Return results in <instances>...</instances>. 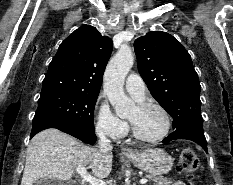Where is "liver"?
I'll return each instance as SVG.
<instances>
[{
	"label": "liver",
	"mask_w": 233,
	"mask_h": 185,
	"mask_svg": "<svg viewBox=\"0 0 233 185\" xmlns=\"http://www.w3.org/2000/svg\"><path fill=\"white\" fill-rule=\"evenodd\" d=\"M113 155L79 142L57 129L36 134L27 148L21 185H38L44 179L70 180L78 167L88 166L94 177L106 178Z\"/></svg>",
	"instance_id": "6515ba94"
}]
</instances>
